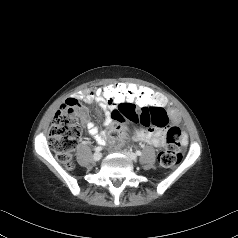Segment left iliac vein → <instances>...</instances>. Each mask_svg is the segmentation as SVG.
<instances>
[{
    "instance_id": "left-iliac-vein-1",
    "label": "left iliac vein",
    "mask_w": 238,
    "mask_h": 238,
    "mask_svg": "<svg viewBox=\"0 0 238 238\" xmlns=\"http://www.w3.org/2000/svg\"><path fill=\"white\" fill-rule=\"evenodd\" d=\"M125 154L131 161H136L137 160V156L133 152L128 151V152H125Z\"/></svg>"
}]
</instances>
